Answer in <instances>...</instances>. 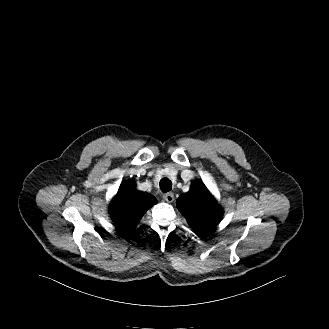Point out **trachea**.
<instances>
[{"instance_id":"3493384b","label":"trachea","mask_w":329,"mask_h":329,"mask_svg":"<svg viewBox=\"0 0 329 329\" xmlns=\"http://www.w3.org/2000/svg\"><path fill=\"white\" fill-rule=\"evenodd\" d=\"M160 189L163 193L169 192L172 189V182L168 178H162L160 180Z\"/></svg>"}]
</instances>
